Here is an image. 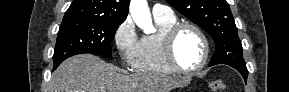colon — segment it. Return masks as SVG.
<instances>
[{
    "label": "colon",
    "instance_id": "obj_1",
    "mask_svg": "<svg viewBox=\"0 0 289 92\" xmlns=\"http://www.w3.org/2000/svg\"><path fill=\"white\" fill-rule=\"evenodd\" d=\"M226 88V84L222 79L214 80L209 83V89L210 91H224Z\"/></svg>",
    "mask_w": 289,
    "mask_h": 92
}]
</instances>
